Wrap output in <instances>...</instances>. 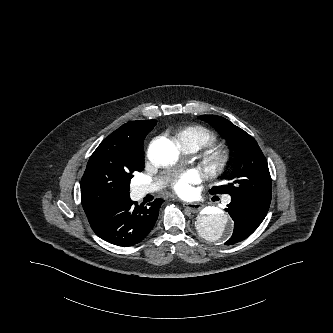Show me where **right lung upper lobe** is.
<instances>
[{
  "label": "right lung upper lobe",
  "mask_w": 333,
  "mask_h": 333,
  "mask_svg": "<svg viewBox=\"0 0 333 333\" xmlns=\"http://www.w3.org/2000/svg\"><path fill=\"white\" fill-rule=\"evenodd\" d=\"M145 121L122 125L91 155L81 179V203L87 217L121 200L103 192L97 185V176L104 170L125 167L143 159Z\"/></svg>",
  "instance_id": "right-lung-upper-lobe-1"
}]
</instances>
